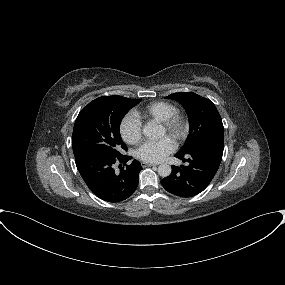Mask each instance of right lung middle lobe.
I'll list each match as a JSON object with an SVG mask.
<instances>
[{"mask_svg":"<svg viewBox=\"0 0 285 285\" xmlns=\"http://www.w3.org/2000/svg\"><path fill=\"white\" fill-rule=\"evenodd\" d=\"M140 101L117 95L103 96L85 106L74 124V156L83 153L122 156L127 147L120 136V124L125 114Z\"/></svg>","mask_w":285,"mask_h":285,"instance_id":"dd1d6c3e","label":"right lung middle lobe"}]
</instances>
